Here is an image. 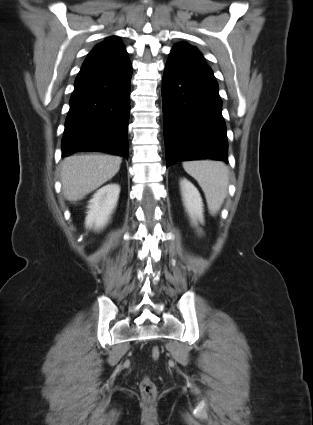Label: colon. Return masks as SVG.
I'll return each instance as SVG.
<instances>
[{
    "label": "colon",
    "instance_id": "5ec220e1",
    "mask_svg": "<svg viewBox=\"0 0 313 425\" xmlns=\"http://www.w3.org/2000/svg\"><path fill=\"white\" fill-rule=\"evenodd\" d=\"M161 356V349L158 346H154L151 349V358L157 361ZM140 392L145 402H152L157 396V388L155 383L149 378L145 377L140 383Z\"/></svg>",
    "mask_w": 313,
    "mask_h": 425
}]
</instances>
